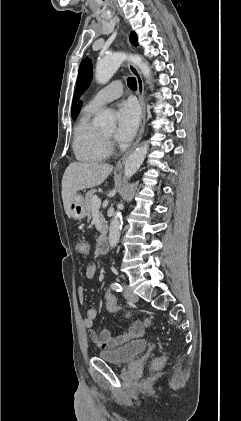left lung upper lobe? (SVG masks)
<instances>
[{
  "mask_svg": "<svg viewBox=\"0 0 241 421\" xmlns=\"http://www.w3.org/2000/svg\"><path fill=\"white\" fill-rule=\"evenodd\" d=\"M130 39H131V43L137 46V37L134 32L131 33ZM91 75H92V63L90 59L86 58L81 62L80 68H79L76 91L74 93L73 102H72V115L74 113V109L79 97L90 85L91 78H92Z\"/></svg>",
  "mask_w": 241,
  "mask_h": 421,
  "instance_id": "left-lung-upper-lobe-1",
  "label": "left lung upper lobe"
}]
</instances>
